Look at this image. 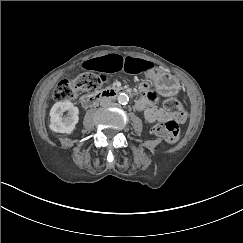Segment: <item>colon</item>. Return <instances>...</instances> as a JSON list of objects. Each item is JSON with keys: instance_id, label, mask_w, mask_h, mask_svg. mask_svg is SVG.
Listing matches in <instances>:
<instances>
[{"instance_id": "5ec220e1", "label": "colon", "mask_w": 243, "mask_h": 243, "mask_svg": "<svg viewBox=\"0 0 243 243\" xmlns=\"http://www.w3.org/2000/svg\"><path fill=\"white\" fill-rule=\"evenodd\" d=\"M104 76L93 73H82L73 80H63L57 84L53 92L57 101L74 100L80 92H93L104 82ZM164 107L171 119L154 126L155 135L168 143H175L179 138V124L185 122L186 113L183 105L177 99L169 98L164 101Z\"/></svg>"}]
</instances>
